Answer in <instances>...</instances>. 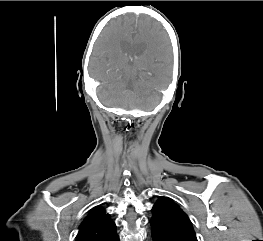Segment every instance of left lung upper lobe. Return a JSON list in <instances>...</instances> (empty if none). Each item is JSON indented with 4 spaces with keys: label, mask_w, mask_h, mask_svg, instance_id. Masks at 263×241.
I'll return each mask as SVG.
<instances>
[{
    "label": "left lung upper lobe",
    "mask_w": 263,
    "mask_h": 241,
    "mask_svg": "<svg viewBox=\"0 0 263 241\" xmlns=\"http://www.w3.org/2000/svg\"><path fill=\"white\" fill-rule=\"evenodd\" d=\"M150 221L157 222L187 241H197L192 223L186 213L171 198L160 197L152 208Z\"/></svg>",
    "instance_id": "5c2ea615"
}]
</instances>
